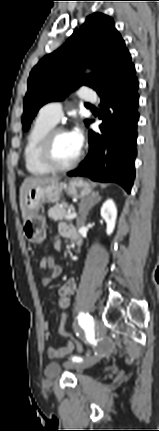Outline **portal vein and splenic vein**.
Instances as JSON below:
<instances>
[{
	"mask_svg": "<svg viewBox=\"0 0 159 431\" xmlns=\"http://www.w3.org/2000/svg\"><path fill=\"white\" fill-rule=\"evenodd\" d=\"M77 217V213H75V212H71V211H69L68 212V214L65 216V218L67 219V220H72V219H74V218H76Z\"/></svg>",
	"mask_w": 159,
	"mask_h": 431,
	"instance_id": "18ae733b",
	"label": "portal vein and splenic vein"
}]
</instances>
